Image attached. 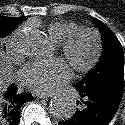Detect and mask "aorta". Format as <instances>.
Wrapping results in <instances>:
<instances>
[{
	"label": "aorta",
	"instance_id": "762f6f07",
	"mask_svg": "<svg viewBox=\"0 0 125 125\" xmlns=\"http://www.w3.org/2000/svg\"><path fill=\"white\" fill-rule=\"evenodd\" d=\"M25 43L24 52L34 59H46L52 52L50 39L41 31L31 33ZM49 110L54 117L65 120L73 116L76 106L72 99L61 96L52 99Z\"/></svg>",
	"mask_w": 125,
	"mask_h": 125
}]
</instances>
